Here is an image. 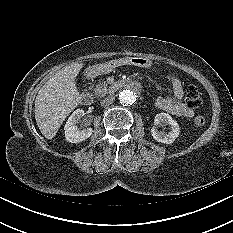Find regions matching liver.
I'll return each instance as SVG.
<instances>
[{
	"label": "liver",
	"instance_id": "6515ba94",
	"mask_svg": "<svg viewBox=\"0 0 233 233\" xmlns=\"http://www.w3.org/2000/svg\"><path fill=\"white\" fill-rule=\"evenodd\" d=\"M83 63H73L57 72L39 90L35 99V119L47 139L55 137L65 118L77 107L80 94L75 78Z\"/></svg>",
	"mask_w": 233,
	"mask_h": 233
}]
</instances>
